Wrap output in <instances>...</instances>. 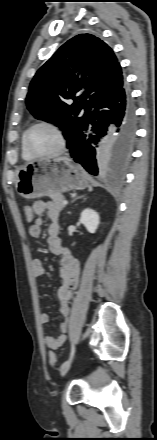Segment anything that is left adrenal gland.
Instances as JSON below:
<instances>
[{
    "instance_id": "obj_1",
    "label": "left adrenal gland",
    "mask_w": 157,
    "mask_h": 440,
    "mask_svg": "<svg viewBox=\"0 0 157 440\" xmlns=\"http://www.w3.org/2000/svg\"><path fill=\"white\" fill-rule=\"evenodd\" d=\"M83 197H84V196L76 197V198L74 199V201L77 200V199H79V198H83Z\"/></svg>"
}]
</instances>
